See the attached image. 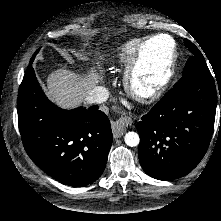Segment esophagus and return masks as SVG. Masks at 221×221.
Wrapping results in <instances>:
<instances>
[{"mask_svg":"<svg viewBox=\"0 0 221 221\" xmlns=\"http://www.w3.org/2000/svg\"><path fill=\"white\" fill-rule=\"evenodd\" d=\"M132 124V119L128 116H122L117 120L111 122V128L114 138L121 137L125 131L126 127Z\"/></svg>","mask_w":221,"mask_h":221,"instance_id":"obj_1","label":"esophagus"}]
</instances>
